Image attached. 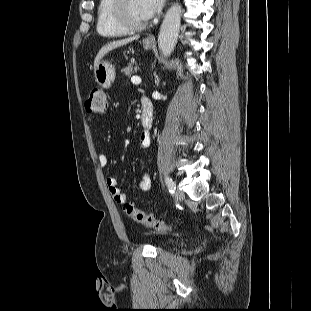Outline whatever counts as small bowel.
<instances>
[{
  "mask_svg": "<svg viewBox=\"0 0 311 311\" xmlns=\"http://www.w3.org/2000/svg\"><path fill=\"white\" fill-rule=\"evenodd\" d=\"M151 135L149 131H143L140 134L139 143L142 149H148L151 145ZM100 166L106 167L109 163L108 157L104 154H100L98 157ZM108 191L113 200L119 204H124L128 200V196L120 190L118 187L117 179L114 177H107L105 180ZM139 187L143 191H147L150 188V177L148 173H144L139 180Z\"/></svg>",
  "mask_w": 311,
  "mask_h": 311,
  "instance_id": "1",
  "label": "small bowel"
}]
</instances>
